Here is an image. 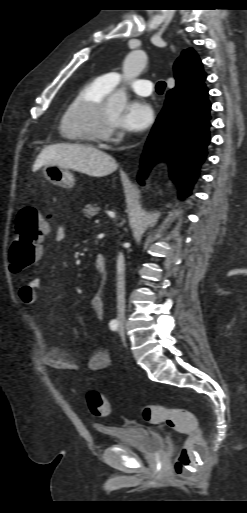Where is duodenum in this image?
Here are the masks:
<instances>
[{"label":"duodenum","mask_w":247,"mask_h":513,"mask_svg":"<svg viewBox=\"0 0 247 513\" xmlns=\"http://www.w3.org/2000/svg\"><path fill=\"white\" fill-rule=\"evenodd\" d=\"M94 265L100 280L103 281L107 276L106 257L103 253L96 255Z\"/></svg>","instance_id":"1"}]
</instances>
